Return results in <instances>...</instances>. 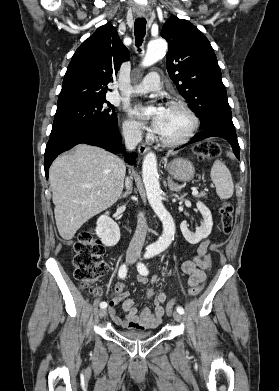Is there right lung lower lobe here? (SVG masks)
Here are the masks:
<instances>
[{
	"instance_id": "right-lung-lower-lobe-1",
	"label": "right lung lower lobe",
	"mask_w": 279,
	"mask_h": 391,
	"mask_svg": "<svg viewBox=\"0 0 279 391\" xmlns=\"http://www.w3.org/2000/svg\"><path fill=\"white\" fill-rule=\"evenodd\" d=\"M79 143L100 146L115 154L124 150L118 131L117 118L98 124L52 130L45 150V175L47 178L49 167L55 157ZM136 156V153H131L126 156V161L133 165L136 163Z\"/></svg>"
}]
</instances>
